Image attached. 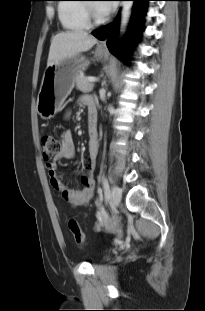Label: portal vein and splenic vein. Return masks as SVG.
I'll return each mask as SVG.
<instances>
[{
	"mask_svg": "<svg viewBox=\"0 0 205 311\" xmlns=\"http://www.w3.org/2000/svg\"><path fill=\"white\" fill-rule=\"evenodd\" d=\"M87 79L89 82H96L97 81V78H95V77H88Z\"/></svg>",
	"mask_w": 205,
	"mask_h": 311,
	"instance_id": "portal-vein-and-splenic-vein-1",
	"label": "portal vein and splenic vein"
}]
</instances>
